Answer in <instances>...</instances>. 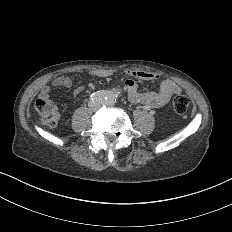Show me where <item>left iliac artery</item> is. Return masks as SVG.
Segmentation results:
<instances>
[{
  "label": "left iliac artery",
  "mask_w": 232,
  "mask_h": 232,
  "mask_svg": "<svg viewBox=\"0 0 232 232\" xmlns=\"http://www.w3.org/2000/svg\"><path fill=\"white\" fill-rule=\"evenodd\" d=\"M116 102H117V95L113 92H109L107 97H106L107 105L113 106V105H115Z\"/></svg>",
  "instance_id": "1"
}]
</instances>
